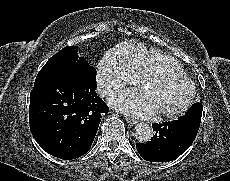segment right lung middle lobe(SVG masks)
<instances>
[{
  "label": "right lung middle lobe",
  "mask_w": 230,
  "mask_h": 181,
  "mask_svg": "<svg viewBox=\"0 0 230 181\" xmlns=\"http://www.w3.org/2000/svg\"><path fill=\"white\" fill-rule=\"evenodd\" d=\"M76 46L63 48L52 56L38 73V78L64 74L85 75L92 83H96V70L89 66L84 58L77 55Z\"/></svg>",
  "instance_id": "1"
}]
</instances>
